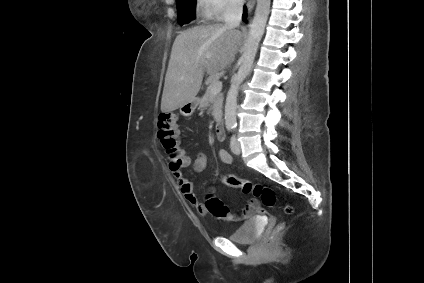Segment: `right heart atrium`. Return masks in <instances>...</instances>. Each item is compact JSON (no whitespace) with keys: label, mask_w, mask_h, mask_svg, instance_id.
<instances>
[{"label":"right heart atrium","mask_w":424,"mask_h":283,"mask_svg":"<svg viewBox=\"0 0 424 283\" xmlns=\"http://www.w3.org/2000/svg\"><path fill=\"white\" fill-rule=\"evenodd\" d=\"M196 2L203 16L216 19L235 12L241 5V0H197Z\"/></svg>","instance_id":"right-heart-atrium-1"}]
</instances>
